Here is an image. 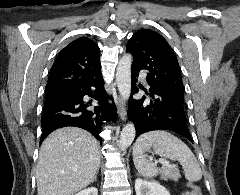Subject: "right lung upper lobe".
<instances>
[{
	"instance_id": "cb5924a9",
	"label": "right lung upper lobe",
	"mask_w": 240,
	"mask_h": 195,
	"mask_svg": "<svg viewBox=\"0 0 240 195\" xmlns=\"http://www.w3.org/2000/svg\"><path fill=\"white\" fill-rule=\"evenodd\" d=\"M101 76L99 47L88 38H79L59 53L51 67L45 92L78 87Z\"/></svg>"
}]
</instances>
